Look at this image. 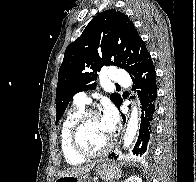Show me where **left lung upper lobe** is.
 <instances>
[{"label":"left lung upper lobe","mask_w":196,"mask_h":182,"mask_svg":"<svg viewBox=\"0 0 196 182\" xmlns=\"http://www.w3.org/2000/svg\"><path fill=\"white\" fill-rule=\"evenodd\" d=\"M148 55L144 41L124 13L106 10L95 16L66 48L58 73L56 124L77 92L95 89L97 71L103 66H118L131 76ZM110 99L117 107L122 101L117 93Z\"/></svg>","instance_id":"1"}]
</instances>
